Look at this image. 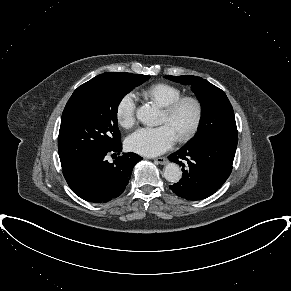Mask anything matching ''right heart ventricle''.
Listing matches in <instances>:
<instances>
[{
	"instance_id": "obj_1",
	"label": "right heart ventricle",
	"mask_w": 291,
	"mask_h": 291,
	"mask_svg": "<svg viewBox=\"0 0 291 291\" xmlns=\"http://www.w3.org/2000/svg\"><path fill=\"white\" fill-rule=\"evenodd\" d=\"M143 97L152 100L160 107H166L182 96V91L177 86L168 83H156L141 91Z\"/></svg>"
}]
</instances>
